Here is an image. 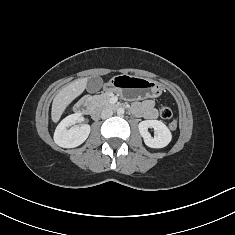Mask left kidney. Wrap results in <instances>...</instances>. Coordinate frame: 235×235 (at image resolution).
Instances as JSON below:
<instances>
[{
	"label": "left kidney",
	"instance_id": "left-kidney-1",
	"mask_svg": "<svg viewBox=\"0 0 235 235\" xmlns=\"http://www.w3.org/2000/svg\"><path fill=\"white\" fill-rule=\"evenodd\" d=\"M140 135L144 139V143L150 148H163L167 146L171 139L172 134L168 127L159 120H145L138 125ZM148 128H154V138L150 135Z\"/></svg>",
	"mask_w": 235,
	"mask_h": 235
}]
</instances>
